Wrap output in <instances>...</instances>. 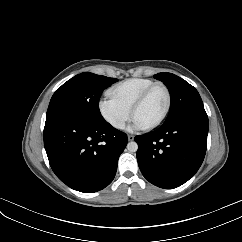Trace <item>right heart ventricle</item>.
I'll return each instance as SVG.
<instances>
[{
	"label": "right heart ventricle",
	"mask_w": 242,
	"mask_h": 242,
	"mask_svg": "<svg viewBox=\"0 0 242 242\" xmlns=\"http://www.w3.org/2000/svg\"><path fill=\"white\" fill-rule=\"evenodd\" d=\"M153 83L150 79L131 78L112 87L109 90V95L118 104L130 111L138 96Z\"/></svg>",
	"instance_id": "obj_1"
}]
</instances>
